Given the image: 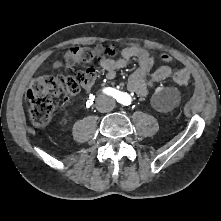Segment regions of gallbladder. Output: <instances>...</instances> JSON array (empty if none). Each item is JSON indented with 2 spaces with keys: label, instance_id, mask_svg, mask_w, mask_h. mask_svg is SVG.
Wrapping results in <instances>:
<instances>
[{
  "label": "gallbladder",
  "instance_id": "bac80fb5",
  "mask_svg": "<svg viewBox=\"0 0 221 221\" xmlns=\"http://www.w3.org/2000/svg\"><path fill=\"white\" fill-rule=\"evenodd\" d=\"M55 66H56V67L61 66V63H58V62H57V63H55Z\"/></svg>",
  "mask_w": 221,
  "mask_h": 221
}]
</instances>
